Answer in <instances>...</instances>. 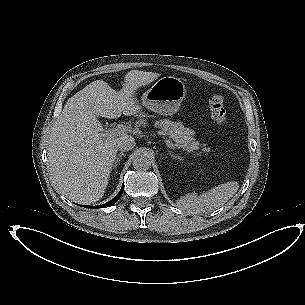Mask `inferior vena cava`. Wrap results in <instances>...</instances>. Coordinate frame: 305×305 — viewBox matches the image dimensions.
I'll list each match as a JSON object with an SVG mask.
<instances>
[{"label":"inferior vena cava","instance_id":"obj_1","mask_svg":"<svg viewBox=\"0 0 305 305\" xmlns=\"http://www.w3.org/2000/svg\"><path fill=\"white\" fill-rule=\"evenodd\" d=\"M135 139L132 136L121 137L118 142V148L121 151H129L135 147Z\"/></svg>","mask_w":305,"mask_h":305}]
</instances>
